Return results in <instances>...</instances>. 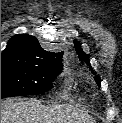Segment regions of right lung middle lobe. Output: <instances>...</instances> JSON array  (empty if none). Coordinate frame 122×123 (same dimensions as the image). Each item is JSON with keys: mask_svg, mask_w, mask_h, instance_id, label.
Segmentation results:
<instances>
[{"mask_svg": "<svg viewBox=\"0 0 122 123\" xmlns=\"http://www.w3.org/2000/svg\"><path fill=\"white\" fill-rule=\"evenodd\" d=\"M61 65L1 59V98L37 95L53 88Z\"/></svg>", "mask_w": 122, "mask_h": 123, "instance_id": "obj_1", "label": "right lung middle lobe"}]
</instances>
